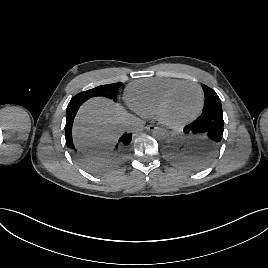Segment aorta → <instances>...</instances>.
Masks as SVG:
<instances>
[{"label":"aorta","mask_w":268,"mask_h":268,"mask_svg":"<svg viewBox=\"0 0 268 268\" xmlns=\"http://www.w3.org/2000/svg\"><path fill=\"white\" fill-rule=\"evenodd\" d=\"M167 136V133L165 130L163 129H156L154 132H153V137L156 138L157 140H162L164 138H166Z\"/></svg>","instance_id":"aorta-1"}]
</instances>
